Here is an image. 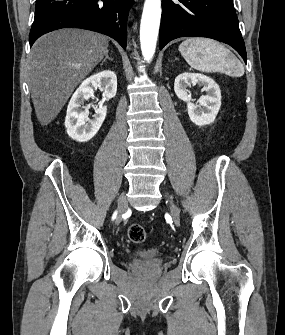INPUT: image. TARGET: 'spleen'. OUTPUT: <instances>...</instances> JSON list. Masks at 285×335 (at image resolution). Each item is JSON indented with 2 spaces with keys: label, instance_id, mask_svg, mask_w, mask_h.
<instances>
[{
  "label": "spleen",
  "instance_id": "1",
  "mask_svg": "<svg viewBox=\"0 0 285 335\" xmlns=\"http://www.w3.org/2000/svg\"><path fill=\"white\" fill-rule=\"evenodd\" d=\"M179 52L187 64L194 70H199V72L234 68V70H238L240 76L244 74V68L239 60L234 58L228 48H224L215 40L187 38L185 42L180 44Z\"/></svg>",
  "mask_w": 285,
  "mask_h": 335
}]
</instances>
